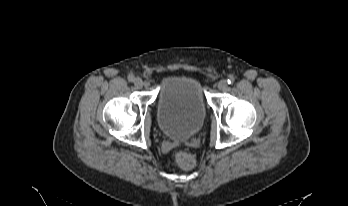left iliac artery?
<instances>
[{
	"label": "left iliac artery",
	"instance_id": "1",
	"mask_svg": "<svg viewBox=\"0 0 348 206\" xmlns=\"http://www.w3.org/2000/svg\"><path fill=\"white\" fill-rule=\"evenodd\" d=\"M234 81H235V78L233 76H229V78L227 80L228 84L232 85L234 83Z\"/></svg>",
	"mask_w": 348,
	"mask_h": 206
}]
</instances>
